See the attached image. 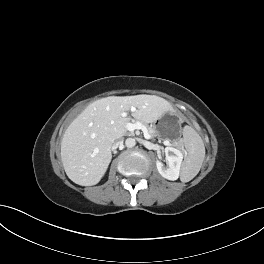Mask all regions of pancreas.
<instances>
[{
  "mask_svg": "<svg viewBox=\"0 0 264 264\" xmlns=\"http://www.w3.org/2000/svg\"><path fill=\"white\" fill-rule=\"evenodd\" d=\"M141 123H142L143 125H145L143 122H141ZM145 126L147 127L148 132H149V134H150L151 137H156V136H158L157 131H156V129H155L154 127L147 126V125H145ZM174 145L177 146V147H180L179 144L174 143Z\"/></svg>",
  "mask_w": 264,
  "mask_h": 264,
  "instance_id": "pancreas-1",
  "label": "pancreas"
}]
</instances>
